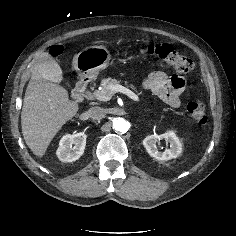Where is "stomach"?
<instances>
[{
  "label": "stomach",
  "mask_w": 236,
  "mask_h": 236,
  "mask_svg": "<svg viewBox=\"0 0 236 236\" xmlns=\"http://www.w3.org/2000/svg\"><path fill=\"white\" fill-rule=\"evenodd\" d=\"M110 58L104 46L87 47L74 57V68L79 76L94 78L108 66Z\"/></svg>",
  "instance_id": "obj_1"
}]
</instances>
